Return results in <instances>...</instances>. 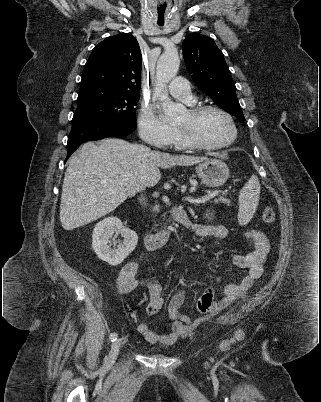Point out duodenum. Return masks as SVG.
Here are the masks:
<instances>
[{"instance_id": "1", "label": "duodenum", "mask_w": 321, "mask_h": 402, "mask_svg": "<svg viewBox=\"0 0 321 402\" xmlns=\"http://www.w3.org/2000/svg\"><path fill=\"white\" fill-rule=\"evenodd\" d=\"M168 221H180L184 222L186 220V215L183 210L174 209L172 210L168 217ZM170 237V230L168 227H163L157 232L145 233L144 234V244L148 250H156L164 246Z\"/></svg>"}]
</instances>
